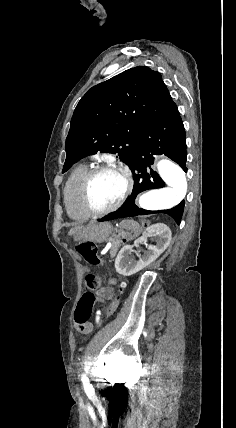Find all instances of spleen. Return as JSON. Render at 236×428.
<instances>
[{"label":"spleen","mask_w":236,"mask_h":428,"mask_svg":"<svg viewBox=\"0 0 236 428\" xmlns=\"http://www.w3.org/2000/svg\"><path fill=\"white\" fill-rule=\"evenodd\" d=\"M123 230H132V232H140V226L137 222H133V220H123L120 224Z\"/></svg>","instance_id":"3e777b00"}]
</instances>
